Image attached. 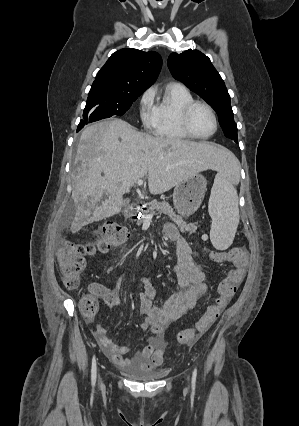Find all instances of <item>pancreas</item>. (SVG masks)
<instances>
[{
  "label": "pancreas",
  "instance_id": "pancreas-1",
  "mask_svg": "<svg viewBox=\"0 0 299 426\" xmlns=\"http://www.w3.org/2000/svg\"><path fill=\"white\" fill-rule=\"evenodd\" d=\"M146 208L147 209L143 211L145 216L148 214H155L156 212L159 214H166L178 225L180 231L183 233L188 232L189 234H192L195 233L198 228L197 223H187L180 215H176L173 208L166 201L158 202L156 200H152L146 204ZM142 221L143 219L137 221V225H140Z\"/></svg>",
  "mask_w": 299,
  "mask_h": 426
}]
</instances>
